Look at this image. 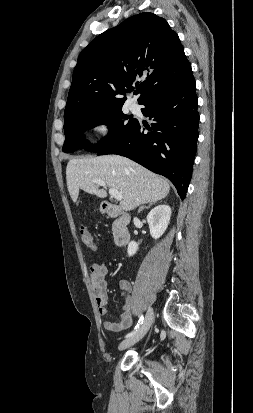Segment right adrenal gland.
<instances>
[{"label":"right adrenal gland","mask_w":253,"mask_h":413,"mask_svg":"<svg viewBox=\"0 0 253 413\" xmlns=\"http://www.w3.org/2000/svg\"><path fill=\"white\" fill-rule=\"evenodd\" d=\"M156 202H152V203H149V205L148 206H142V207H140L139 208V210H138V213H140L142 210H144L145 208L146 209H148V208H150L153 204H155Z\"/></svg>","instance_id":"1"}]
</instances>
